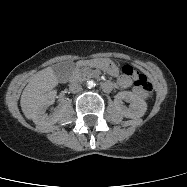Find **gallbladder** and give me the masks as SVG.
Listing matches in <instances>:
<instances>
[{
	"mask_svg": "<svg viewBox=\"0 0 187 187\" xmlns=\"http://www.w3.org/2000/svg\"><path fill=\"white\" fill-rule=\"evenodd\" d=\"M73 69V63L71 61H65L53 66V71L59 81L66 80Z\"/></svg>",
	"mask_w": 187,
	"mask_h": 187,
	"instance_id": "obj_1",
	"label": "gallbladder"
}]
</instances>
